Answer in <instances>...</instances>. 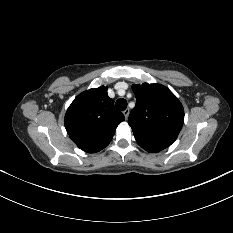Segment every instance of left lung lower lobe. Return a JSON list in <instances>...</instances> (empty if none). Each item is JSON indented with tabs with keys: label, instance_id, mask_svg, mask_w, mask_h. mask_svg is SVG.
Segmentation results:
<instances>
[{
	"label": "left lung lower lobe",
	"instance_id": "obj_1",
	"mask_svg": "<svg viewBox=\"0 0 233 233\" xmlns=\"http://www.w3.org/2000/svg\"><path fill=\"white\" fill-rule=\"evenodd\" d=\"M141 147H143V149H145L148 152L155 153V152H159V151L167 148L168 145L161 144V143H149V144L143 145Z\"/></svg>",
	"mask_w": 233,
	"mask_h": 233
}]
</instances>
